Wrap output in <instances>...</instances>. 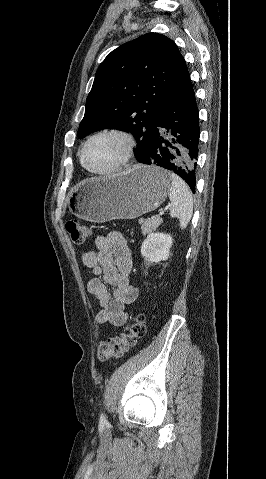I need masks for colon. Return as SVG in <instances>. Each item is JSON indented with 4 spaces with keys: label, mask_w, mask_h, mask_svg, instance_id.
<instances>
[{
    "label": "colon",
    "mask_w": 266,
    "mask_h": 479,
    "mask_svg": "<svg viewBox=\"0 0 266 479\" xmlns=\"http://www.w3.org/2000/svg\"><path fill=\"white\" fill-rule=\"evenodd\" d=\"M66 230L72 242L77 246L84 245L91 236V229L78 219L66 222ZM145 334V317L142 314L135 316L119 335L103 340L98 345L97 357L101 362H109L122 358L133 348L137 340Z\"/></svg>",
    "instance_id": "obj_1"
}]
</instances>
